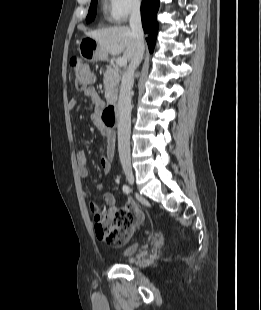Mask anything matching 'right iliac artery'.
<instances>
[{
  "label": "right iliac artery",
  "mask_w": 261,
  "mask_h": 310,
  "mask_svg": "<svg viewBox=\"0 0 261 310\" xmlns=\"http://www.w3.org/2000/svg\"><path fill=\"white\" fill-rule=\"evenodd\" d=\"M122 189H123V192L126 193V194H129L130 191H131V190H130V187L127 186V185H123V188H122Z\"/></svg>",
  "instance_id": "1"
}]
</instances>
